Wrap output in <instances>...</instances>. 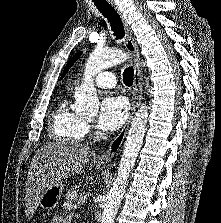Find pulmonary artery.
Returning a JSON list of instances; mask_svg holds the SVG:
<instances>
[{
    "label": "pulmonary artery",
    "instance_id": "e3ab8cb5",
    "mask_svg": "<svg viewBox=\"0 0 221 223\" xmlns=\"http://www.w3.org/2000/svg\"><path fill=\"white\" fill-rule=\"evenodd\" d=\"M94 83L101 88H113L116 84L115 75L109 71H102L94 78Z\"/></svg>",
    "mask_w": 221,
    "mask_h": 223
}]
</instances>
